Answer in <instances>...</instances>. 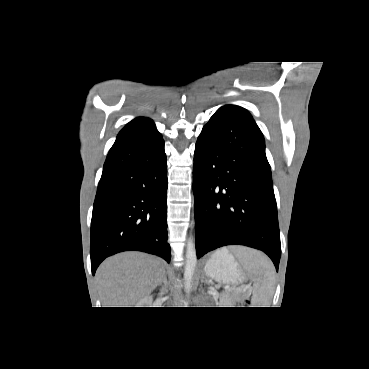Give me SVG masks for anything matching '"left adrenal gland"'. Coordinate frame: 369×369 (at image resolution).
Instances as JSON below:
<instances>
[{"label": "left adrenal gland", "instance_id": "1", "mask_svg": "<svg viewBox=\"0 0 369 369\" xmlns=\"http://www.w3.org/2000/svg\"><path fill=\"white\" fill-rule=\"evenodd\" d=\"M201 282L209 285V281H208V279L205 277V275L203 273H202V276H201Z\"/></svg>", "mask_w": 369, "mask_h": 369}]
</instances>
